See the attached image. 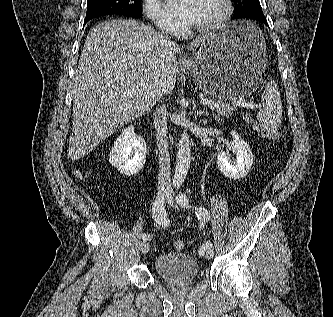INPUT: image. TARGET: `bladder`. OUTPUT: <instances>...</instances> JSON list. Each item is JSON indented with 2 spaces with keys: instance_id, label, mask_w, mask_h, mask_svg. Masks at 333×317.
Returning a JSON list of instances; mask_svg holds the SVG:
<instances>
[{
  "instance_id": "1",
  "label": "bladder",
  "mask_w": 333,
  "mask_h": 317,
  "mask_svg": "<svg viewBox=\"0 0 333 317\" xmlns=\"http://www.w3.org/2000/svg\"><path fill=\"white\" fill-rule=\"evenodd\" d=\"M153 268L157 276L174 284L192 282L200 272L198 262L186 253L160 254L155 258Z\"/></svg>"
}]
</instances>
